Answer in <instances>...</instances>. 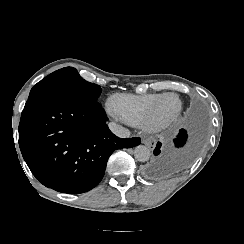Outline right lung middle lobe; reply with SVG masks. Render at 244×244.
I'll return each mask as SVG.
<instances>
[{
    "mask_svg": "<svg viewBox=\"0 0 244 244\" xmlns=\"http://www.w3.org/2000/svg\"><path fill=\"white\" fill-rule=\"evenodd\" d=\"M101 87L85 81L75 68L59 69L40 82L30 91L29 96L35 94H56L75 98L83 102H97Z\"/></svg>",
    "mask_w": 244,
    "mask_h": 244,
    "instance_id": "obj_1",
    "label": "right lung middle lobe"
}]
</instances>
